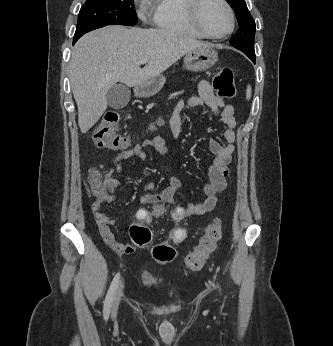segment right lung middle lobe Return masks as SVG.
Wrapping results in <instances>:
<instances>
[{"label": "right lung middle lobe", "mask_w": 333, "mask_h": 346, "mask_svg": "<svg viewBox=\"0 0 333 346\" xmlns=\"http://www.w3.org/2000/svg\"><path fill=\"white\" fill-rule=\"evenodd\" d=\"M136 23L134 0H87L80 9L74 39L106 25L134 26Z\"/></svg>", "instance_id": "1"}]
</instances>
